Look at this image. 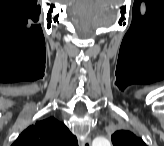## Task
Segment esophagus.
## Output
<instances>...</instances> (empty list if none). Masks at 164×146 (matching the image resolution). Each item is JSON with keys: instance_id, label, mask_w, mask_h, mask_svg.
I'll list each match as a JSON object with an SVG mask.
<instances>
[{"instance_id": "obj_1", "label": "esophagus", "mask_w": 164, "mask_h": 146, "mask_svg": "<svg viewBox=\"0 0 164 146\" xmlns=\"http://www.w3.org/2000/svg\"><path fill=\"white\" fill-rule=\"evenodd\" d=\"M82 146H91V139L88 137L82 142Z\"/></svg>"}]
</instances>
